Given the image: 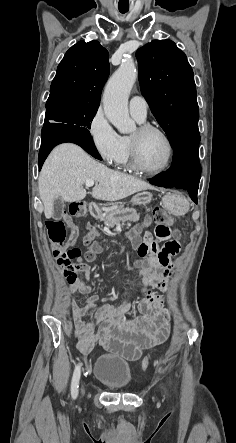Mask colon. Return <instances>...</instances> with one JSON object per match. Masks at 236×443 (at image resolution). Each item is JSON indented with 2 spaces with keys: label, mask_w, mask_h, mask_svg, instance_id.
Masks as SVG:
<instances>
[{
  "label": "colon",
  "mask_w": 236,
  "mask_h": 443,
  "mask_svg": "<svg viewBox=\"0 0 236 443\" xmlns=\"http://www.w3.org/2000/svg\"><path fill=\"white\" fill-rule=\"evenodd\" d=\"M85 206L80 202H72L67 208V216L71 218H80L85 215ZM148 223H153L156 225L155 235L158 239L170 242V238L179 237V232L173 228L172 217L162 208H156L151 216L147 219ZM47 232L49 240L54 246V256L58 262H64L69 265L77 266L81 262L82 250L79 247L66 246V243H72L77 238V231L73 230L68 234L67 226L65 222L61 219L49 220L46 223ZM87 243V242H86ZM88 244V243H87ZM165 248L173 253L178 249L177 244L167 243ZM148 250L145 246H142L139 250V255L145 257ZM95 256V252L88 249L85 252V258L87 260H92ZM135 357L134 359H136ZM150 357L144 359L142 367L146 368L148 366Z\"/></svg>",
  "instance_id": "5ec220e1"
}]
</instances>
